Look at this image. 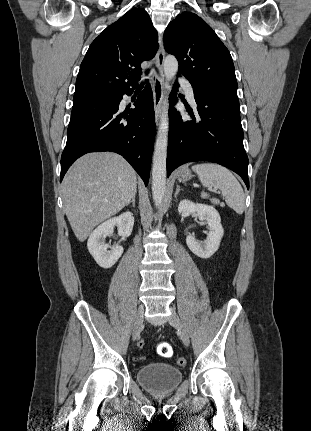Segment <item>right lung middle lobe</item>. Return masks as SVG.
Wrapping results in <instances>:
<instances>
[{
  "label": "right lung middle lobe",
  "mask_w": 311,
  "mask_h": 431,
  "mask_svg": "<svg viewBox=\"0 0 311 431\" xmlns=\"http://www.w3.org/2000/svg\"><path fill=\"white\" fill-rule=\"evenodd\" d=\"M109 95H115V94H98V95H89V96H80V97H74L73 102L88 99V98H94V97H101V96H109Z\"/></svg>",
  "instance_id": "right-lung-middle-lobe-1"
}]
</instances>
